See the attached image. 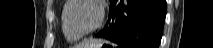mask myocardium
<instances>
[{"mask_svg": "<svg viewBox=\"0 0 213 48\" xmlns=\"http://www.w3.org/2000/svg\"><path fill=\"white\" fill-rule=\"evenodd\" d=\"M78 1H85V2H89L92 3L93 5L96 6L98 13H99V17H98V21L95 24L94 27H92L91 29H89L88 31L85 32H75L73 31L69 24H68V20H67V15L69 10L71 9L72 5ZM105 19V10H104V6L102 4L101 1L99 0H69L64 8V12L62 14V24L64 29L72 36L78 37V38H83L85 36H88L90 34H93L94 32H96L103 24Z\"/></svg>", "mask_w": 213, "mask_h": 48, "instance_id": "1", "label": "myocardium"}]
</instances>
